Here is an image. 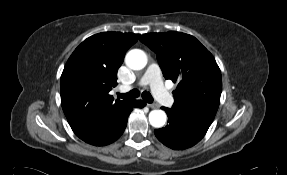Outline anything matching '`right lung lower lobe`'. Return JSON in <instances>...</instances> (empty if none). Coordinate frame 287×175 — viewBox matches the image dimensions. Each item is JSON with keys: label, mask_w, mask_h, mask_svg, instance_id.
Returning <instances> with one entry per match:
<instances>
[{"label": "right lung lower lobe", "mask_w": 287, "mask_h": 175, "mask_svg": "<svg viewBox=\"0 0 287 175\" xmlns=\"http://www.w3.org/2000/svg\"><path fill=\"white\" fill-rule=\"evenodd\" d=\"M146 103L142 100H130L113 116L110 123L104 125L91 135L80 138L86 143L95 146H105L116 141L124 132L127 118L135 107L143 108Z\"/></svg>", "instance_id": "98d812e1"}]
</instances>
